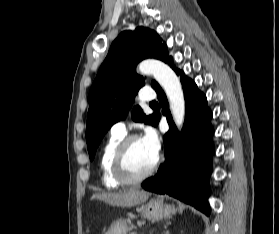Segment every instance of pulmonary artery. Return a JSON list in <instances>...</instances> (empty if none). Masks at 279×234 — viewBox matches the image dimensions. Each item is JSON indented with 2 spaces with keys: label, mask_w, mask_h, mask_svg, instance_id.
Returning a JSON list of instances; mask_svg holds the SVG:
<instances>
[{
  "label": "pulmonary artery",
  "mask_w": 279,
  "mask_h": 234,
  "mask_svg": "<svg viewBox=\"0 0 279 234\" xmlns=\"http://www.w3.org/2000/svg\"><path fill=\"white\" fill-rule=\"evenodd\" d=\"M155 98V94L154 91L152 89L150 90H141L140 94H139V99L141 101L144 102H149V101H153ZM112 132L113 133H118V134H125L126 132V125L124 122L119 121L116 122L113 126H112Z\"/></svg>",
  "instance_id": "e3ab8cb5"
}]
</instances>
